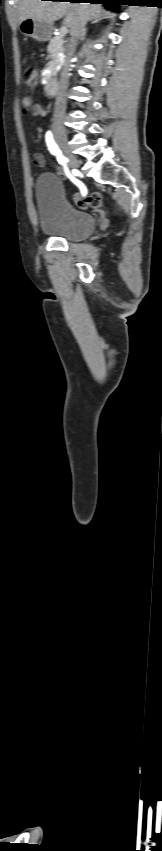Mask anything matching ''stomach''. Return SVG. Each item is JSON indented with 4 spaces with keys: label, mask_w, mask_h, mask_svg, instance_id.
I'll return each mask as SVG.
<instances>
[{
    "label": "stomach",
    "mask_w": 162,
    "mask_h": 851,
    "mask_svg": "<svg viewBox=\"0 0 162 851\" xmlns=\"http://www.w3.org/2000/svg\"><path fill=\"white\" fill-rule=\"evenodd\" d=\"M19 30L26 37L47 41L52 35L53 24L27 18L19 23Z\"/></svg>",
    "instance_id": "0dacf381"
}]
</instances>
